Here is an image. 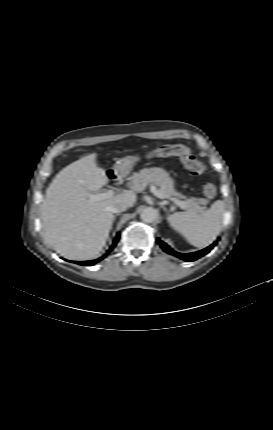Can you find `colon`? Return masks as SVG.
Instances as JSON below:
<instances>
[{
  "label": "colon",
  "instance_id": "5ec220e1",
  "mask_svg": "<svg viewBox=\"0 0 273 430\" xmlns=\"http://www.w3.org/2000/svg\"><path fill=\"white\" fill-rule=\"evenodd\" d=\"M151 156H178L183 165L194 175H201L206 173V166L198 160L184 145H162L150 153ZM202 193L208 198L212 199L216 196L217 188L212 182H205L202 185Z\"/></svg>",
  "mask_w": 273,
  "mask_h": 430
}]
</instances>
